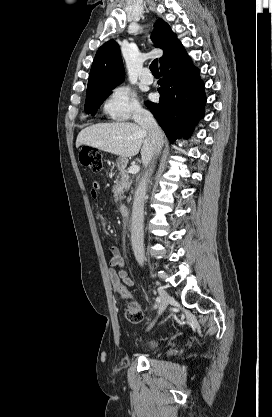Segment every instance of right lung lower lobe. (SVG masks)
Wrapping results in <instances>:
<instances>
[{
    "label": "right lung lower lobe",
    "mask_w": 272,
    "mask_h": 417,
    "mask_svg": "<svg viewBox=\"0 0 272 417\" xmlns=\"http://www.w3.org/2000/svg\"><path fill=\"white\" fill-rule=\"evenodd\" d=\"M160 71V101H147L145 104L167 138L173 142L181 136H188L193 126L204 116V83L183 46L160 65Z\"/></svg>",
    "instance_id": "obj_1"
}]
</instances>
